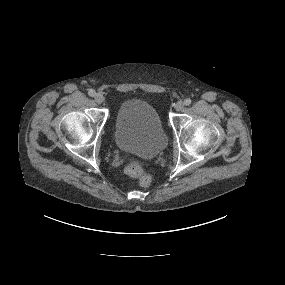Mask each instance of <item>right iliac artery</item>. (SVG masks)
<instances>
[{"label": "right iliac artery", "instance_id": "1", "mask_svg": "<svg viewBox=\"0 0 285 285\" xmlns=\"http://www.w3.org/2000/svg\"><path fill=\"white\" fill-rule=\"evenodd\" d=\"M88 94H89V96L93 97V96H95L96 92H95V90L90 89V90L88 91Z\"/></svg>", "mask_w": 285, "mask_h": 285}]
</instances>
